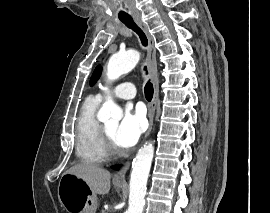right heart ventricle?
Segmentation results:
<instances>
[{
    "label": "right heart ventricle",
    "instance_id": "right-heart-ventricle-1",
    "mask_svg": "<svg viewBox=\"0 0 270 213\" xmlns=\"http://www.w3.org/2000/svg\"><path fill=\"white\" fill-rule=\"evenodd\" d=\"M100 101L95 97L85 100L76 122V154L80 160L99 164L107 160L102 138V125L96 118Z\"/></svg>",
    "mask_w": 270,
    "mask_h": 213
}]
</instances>
